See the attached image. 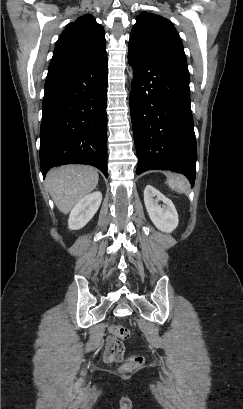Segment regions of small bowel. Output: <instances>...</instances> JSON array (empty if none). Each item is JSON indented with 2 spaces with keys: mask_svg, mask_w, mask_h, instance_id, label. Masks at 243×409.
Instances as JSON below:
<instances>
[{
  "mask_svg": "<svg viewBox=\"0 0 243 409\" xmlns=\"http://www.w3.org/2000/svg\"><path fill=\"white\" fill-rule=\"evenodd\" d=\"M125 350L118 338L110 334L103 349V359L106 363L121 362L124 359Z\"/></svg>",
  "mask_w": 243,
  "mask_h": 409,
  "instance_id": "c3829d8e",
  "label": "small bowel"
}]
</instances>
